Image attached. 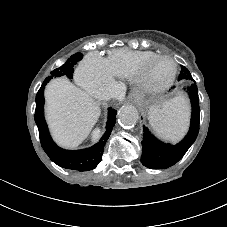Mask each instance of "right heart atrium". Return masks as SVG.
<instances>
[{"label": "right heart atrium", "mask_w": 227, "mask_h": 227, "mask_svg": "<svg viewBox=\"0 0 227 227\" xmlns=\"http://www.w3.org/2000/svg\"><path fill=\"white\" fill-rule=\"evenodd\" d=\"M79 85L97 98H105L116 90V81L107 60L99 53H89L77 71Z\"/></svg>", "instance_id": "d8ad5b80"}]
</instances>
